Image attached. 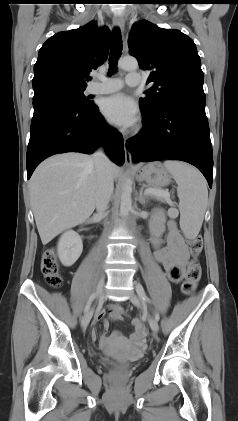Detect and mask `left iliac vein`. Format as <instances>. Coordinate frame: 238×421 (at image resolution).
Returning a JSON list of instances; mask_svg holds the SVG:
<instances>
[{"label":"left iliac vein","mask_w":238,"mask_h":421,"mask_svg":"<svg viewBox=\"0 0 238 421\" xmlns=\"http://www.w3.org/2000/svg\"><path fill=\"white\" fill-rule=\"evenodd\" d=\"M130 301L136 306L141 305L138 296L134 293L131 294ZM148 321H149V325H150V328L153 331V333H157L158 330H159V325H158V322L156 321V319H154L152 316H149Z\"/></svg>","instance_id":"obj_1"}]
</instances>
